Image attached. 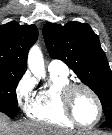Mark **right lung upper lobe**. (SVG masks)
<instances>
[{"instance_id":"1","label":"right lung upper lobe","mask_w":112,"mask_h":135,"mask_svg":"<svg viewBox=\"0 0 112 135\" xmlns=\"http://www.w3.org/2000/svg\"><path fill=\"white\" fill-rule=\"evenodd\" d=\"M38 37L35 25H0V74L25 73L27 55Z\"/></svg>"}]
</instances>
